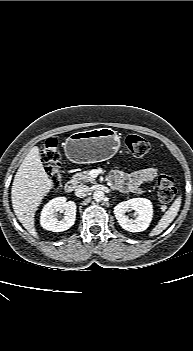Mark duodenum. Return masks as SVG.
<instances>
[{
    "label": "duodenum",
    "mask_w": 193,
    "mask_h": 351,
    "mask_svg": "<svg viewBox=\"0 0 193 351\" xmlns=\"http://www.w3.org/2000/svg\"><path fill=\"white\" fill-rule=\"evenodd\" d=\"M73 190H74V183L73 182H67L65 184V191L67 193H71V192H73Z\"/></svg>",
    "instance_id": "duodenum-1"
}]
</instances>
